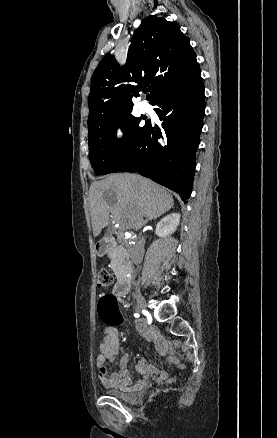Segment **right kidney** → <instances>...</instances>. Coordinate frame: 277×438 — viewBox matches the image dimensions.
I'll return each instance as SVG.
<instances>
[{"label": "right kidney", "mask_w": 277, "mask_h": 438, "mask_svg": "<svg viewBox=\"0 0 277 438\" xmlns=\"http://www.w3.org/2000/svg\"><path fill=\"white\" fill-rule=\"evenodd\" d=\"M180 218V214H169V216L162 218L156 226L155 232L157 236H160V238H166L169 234H173L177 226L180 224Z\"/></svg>", "instance_id": "1"}]
</instances>
